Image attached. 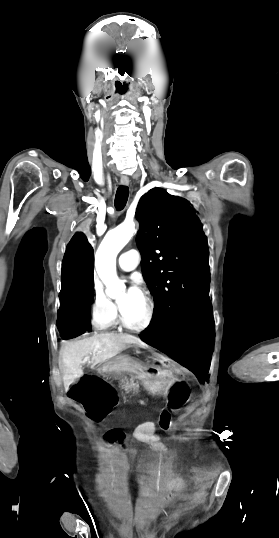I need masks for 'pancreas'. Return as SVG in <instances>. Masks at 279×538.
<instances>
[{"mask_svg": "<svg viewBox=\"0 0 279 538\" xmlns=\"http://www.w3.org/2000/svg\"><path fill=\"white\" fill-rule=\"evenodd\" d=\"M119 382H120L121 390H125V392H131V390H136L137 388L136 384H133V382H130L129 378H126V376H124V378H121ZM138 391H141V388H138ZM133 395H136V392H133Z\"/></svg>", "mask_w": 279, "mask_h": 538, "instance_id": "pancreas-1", "label": "pancreas"}]
</instances>
